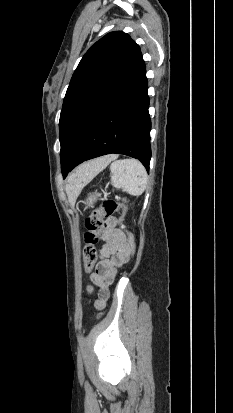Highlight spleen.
Here are the masks:
<instances>
[{
    "label": "spleen",
    "mask_w": 233,
    "mask_h": 413,
    "mask_svg": "<svg viewBox=\"0 0 233 413\" xmlns=\"http://www.w3.org/2000/svg\"><path fill=\"white\" fill-rule=\"evenodd\" d=\"M111 183L115 188H122L131 196H140L147 187V172L135 159L116 160L110 165Z\"/></svg>",
    "instance_id": "1"
}]
</instances>
